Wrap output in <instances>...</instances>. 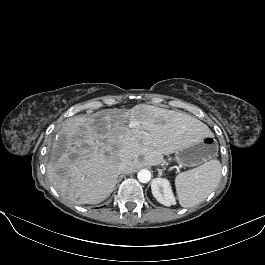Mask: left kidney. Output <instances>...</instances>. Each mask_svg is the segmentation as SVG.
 I'll return each mask as SVG.
<instances>
[{"mask_svg":"<svg viewBox=\"0 0 265 265\" xmlns=\"http://www.w3.org/2000/svg\"><path fill=\"white\" fill-rule=\"evenodd\" d=\"M151 190L159 203L168 207L176 204L170 182L167 179L155 178L151 183Z\"/></svg>","mask_w":265,"mask_h":265,"instance_id":"1","label":"left kidney"}]
</instances>
